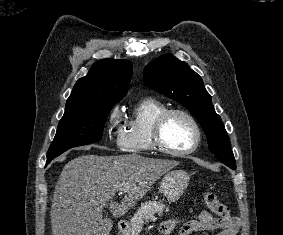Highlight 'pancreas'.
Here are the masks:
<instances>
[{
  "label": "pancreas",
  "instance_id": "cf45deb5",
  "mask_svg": "<svg viewBox=\"0 0 283 235\" xmlns=\"http://www.w3.org/2000/svg\"><path fill=\"white\" fill-rule=\"evenodd\" d=\"M168 211L169 208L161 201L149 200L141 204V207L131 219L134 235H138L146 222L154 221L157 218L156 215L162 216L163 212Z\"/></svg>",
  "mask_w": 283,
  "mask_h": 235
}]
</instances>
